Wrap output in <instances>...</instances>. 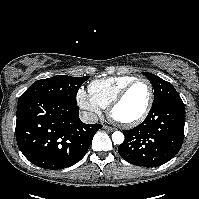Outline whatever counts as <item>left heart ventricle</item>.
I'll return each instance as SVG.
<instances>
[{"label":"left heart ventricle","mask_w":199,"mask_h":199,"mask_svg":"<svg viewBox=\"0 0 199 199\" xmlns=\"http://www.w3.org/2000/svg\"><path fill=\"white\" fill-rule=\"evenodd\" d=\"M149 98V87L145 82L136 83L124 100L114 109L113 115L121 121L137 118L144 111Z\"/></svg>","instance_id":"left-heart-ventricle-1"}]
</instances>
